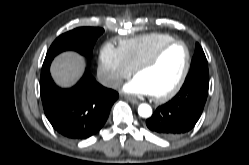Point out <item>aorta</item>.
Listing matches in <instances>:
<instances>
[{
    "label": "aorta",
    "instance_id": "1",
    "mask_svg": "<svg viewBox=\"0 0 249 165\" xmlns=\"http://www.w3.org/2000/svg\"><path fill=\"white\" fill-rule=\"evenodd\" d=\"M138 114L143 118H149L152 115V108L150 105L142 103L138 107Z\"/></svg>",
    "mask_w": 249,
    "mask_h": 165
}]
</instances>
